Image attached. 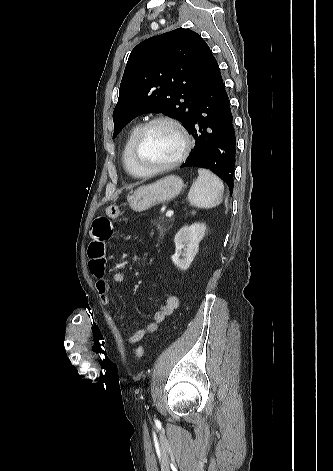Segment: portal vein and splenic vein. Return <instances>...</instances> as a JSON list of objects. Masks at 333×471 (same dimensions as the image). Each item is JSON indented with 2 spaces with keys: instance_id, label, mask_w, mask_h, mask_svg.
Listing matches in <instances>:
<instances>
[{
  "instance_id": "1",
  "label": "portal vein and splenic vein",
  "mask_w": 333,
  "mask_h": 471,
  "mask_svg": "<svg viewBox=\"0 0 333 471\" xmlns=\"http://www.w3.org/2000/svg\"><path fill=\"white\" fill-rule=\"evenodd\" d=\"M173 214H174V211L170 210V211L166 212L165 216L166 217H171Z\"/></svg>"
}]
</instances>
